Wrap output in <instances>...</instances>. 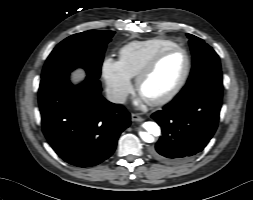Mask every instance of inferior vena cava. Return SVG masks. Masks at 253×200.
<instances>
[{"mask_svg": "<svg viewBox=\"0 0 253 200\" xmlns=\"http://www.w3.org/2000/svg\"><path fill=\"white\" fill-rule=\"evenodd\" d=\"M106 98L113 103H125L127 94L122 91L110 89L106 92Z\"/></svg>", "mask_w": 253, "mask_h": 200, "instance_id": "1", "label": "inferior vena cava"}]
</instances>
